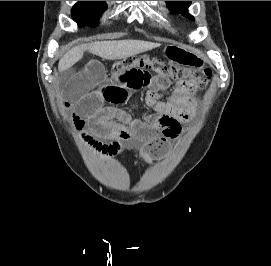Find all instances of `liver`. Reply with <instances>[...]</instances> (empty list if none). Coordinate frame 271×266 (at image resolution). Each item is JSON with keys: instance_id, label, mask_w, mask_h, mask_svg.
Here are the masks:
<instances>
[{"instance_id": "liver-1", "label": "liver", "mask_w": 271, "mask_h": 266, "mask_svg": "<svg viewBox=\"0 0 271 266\" xmlns=\"http://www.w3.org/2000/svg\"><path fill=\"white\" fill-rule=\"evenodd\" d=\"M158 43L139 40L101 41L88 45L74 47L68 51L59 61L58 69L65 71L66 67H72L84 54L85 50L103 59L116 60L134 56L136 54L152 50L158 47Z\"/></svg>"}]
</instances>
